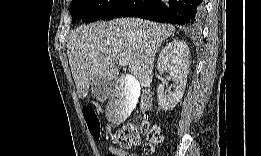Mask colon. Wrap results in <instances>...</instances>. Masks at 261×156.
Returning a JSON list of instances; mask_svg holds the SVG:
<instances>
[{
  "label": "colon",
  "mask_w": 261,
  "mask_h": 156,
  "mask_svg": "<svg viewBox=\"0 0 261 156\" xmlns=\"http://www.w3.org/2000/svg\"><path fill=\"white\" fill-rule=\"evenodd\" d=\"M84 117L89 127L92 136L96 139L103 135L99 118L92 108L84 110ZM140 134L146 135L148 143L144 147L145 154H153L155 145L162 139L160 127L157 124H152L147 114L141 118L136 124H132L127 128L110 134V139L124 149H129L138 144Z\"/></svg>",
  "instance_id": "1"
}]
</instances>
